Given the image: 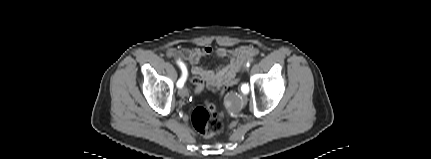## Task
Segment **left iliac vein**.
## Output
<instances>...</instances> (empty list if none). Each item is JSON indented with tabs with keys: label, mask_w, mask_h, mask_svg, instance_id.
<instances>
[{
	"label": "left iliac vein",
	"mask_w": 431,
	"mask_h": 159,
	"mask_svg": "<svg viewBox=\"0 0 431 159\" xmlns=\"http://www.w3.org/2000/svg\"><path fill=\"white\" fill-rule=\"evenodd\" d=\"M247 96L245 94H241L240 101L242 104H245L247 102Z\"/></svg>",
	"instance_id": "1"
}]
</instances>
